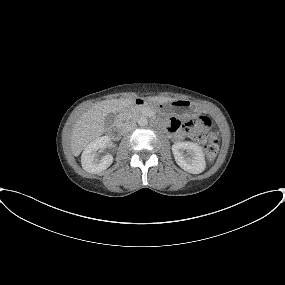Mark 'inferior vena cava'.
I'll return each mask as SVG.
<instances>
[{
    "label": "inferior vena cava",
    "instance_id": "602c4592",
    "mask_svg": "<svg viewBox=\"0 0 285 285\" xmlns=\"http://www.w3.org/2000/svg\"><path fill=\"white\" fill-rule=\"evenodd\" d=\"M136 128V123L135 122H132V121H129V122H126L122 125V128H121V133L122 134H126L132 130H134Z\"/></svg>",
    "mask_w": 285,
    "mask_h": 285
}]
</instances>
